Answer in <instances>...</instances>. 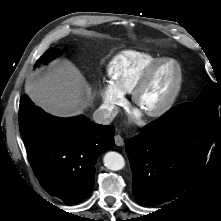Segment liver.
<instances>
[{"label":"liver","mask_w":221,"mask_h":221,"mask_svg":"<svg viewBox=\"0 0 221 221\" xmlns=\"http://www.w3.org/2000/svg\"><path fill=\"white\" fill-rule=\"evenodd\" d=\"M25 92L37 106L58 117L83 112L94 98L81 72L67 60L57 62L41 76L27 79Z\"/></svg>","instance_id":"6515ba94"}]
</instances>
